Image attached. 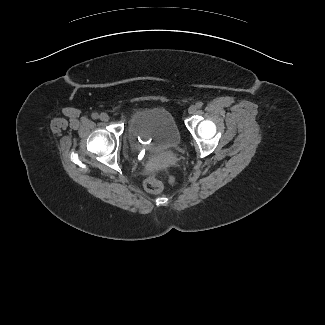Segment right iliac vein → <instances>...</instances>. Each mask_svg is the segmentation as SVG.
I'll list each match as a JSON object with an SVG mask.
<instances>
[{
	"label": "right iliac vein",
	"mask_w": 325,
	"mask_h": 325,
	"mask_svg": "<svg viewBox=\"0 0 325 325\" xmlns=\"http://www.w3.org/2000/svg\"><path fill=\"white\" fill-rule=\"evenodd\" d=\"M99 118H100L102 121H105V122L109 120V116H108V114H106V113H101L100 116H99Z\"/></svg>",
	"instance_id": "right-iliac-vein-1"
}]
</instances>
